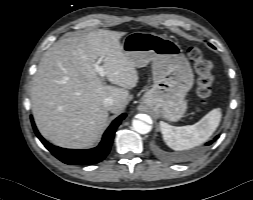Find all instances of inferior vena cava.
<instances>
[{"mask_svg":"<svg viewBox=\"0 0 253 200\" xmlns=\"http://www.w3.org/2000/svg\"><path fill=\"white\" fill-rule=\"evenodd\" d=\"M103 105H104L105 109L111 110V108L114 105V100L110 97L105 98L104 101H103Z\"/></svg>","mask_w":253,"mask_h":200,"instance_id":"obj_1","label":"inferior vena cava"}]
</instances>
